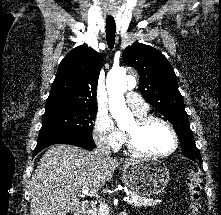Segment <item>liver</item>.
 <instances>
[{"label": "liver", "mask_w": 221, "mask_h": 215, "mask_svg": "<svg viewBox=\"0 0 221 215\" xmlns=\"http://www.w3.org/2000/svg\"><path fill=\"white\" fill-rule=\"evenodd\" d=\"M133 160L100 156L73 145L51 146L30 181L31 215H66L79 206V190L96 192L120 164Z\"/></svg>", "instance_id": "obj_1"}]
</instances>
